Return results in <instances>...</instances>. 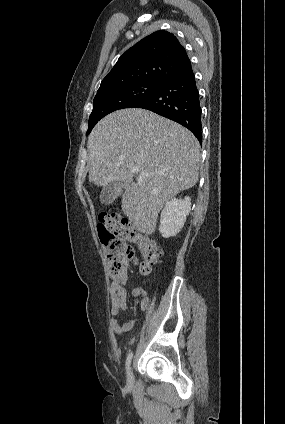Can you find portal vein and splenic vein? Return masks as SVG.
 Wrapping results in <instances>:
<instances>
[{
  "label": "portal vein and splenic vein",
  "mask_w": 285,
  "mask_h": 424,
  "mask_svg": "<svg viewBox=\"0 0 285 424\" xmlns=\"http://www.w3.org/2000/svg\"><path fill=\"white\" fill-rule=\"evenodd\" d=\"M131 171H132L133 173H135V174L140 173V169H139V167H137V166L132 167ZM142 175H143V176H148V174H146V173H142Z\"/></svg>",
  "instance_id": "portal-vein-and-splenic-vein-1"
}]
</instances>
